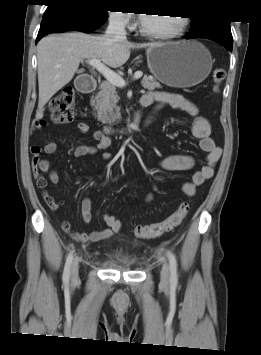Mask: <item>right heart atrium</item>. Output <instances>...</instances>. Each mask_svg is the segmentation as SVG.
I'll use <instances>...</instances> for the list:
<instances>
[{"instance_id":"obj_1","label":"right heart atrium","mask_w":261,"mask_h":355,"mask_svg":"<svg viewBox=\"0 0 261 355\" xmlns=\"http://www.w3.org/2000/svg\"><path fill=\"white\" fill-rule=\"evenodd\" d=\"M108 19L110 23L119 29H131L134 26L132 15L123 10L109 12Z\"/></svg>"}]
</instances>
